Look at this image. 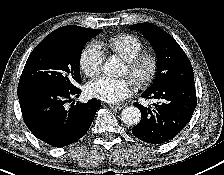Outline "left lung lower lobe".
I'll list each match as a JSON object with an SVG mask.
<instances>
[{
	"mask_svg": "<svg viewBox=\"0 0 224 175\" xmlns=\"http://www.w3.org/2000/svg\"><path fill=\"white\" fill-rule=\"evenodd\" d=\"M142 97L155 99L156 103L153 107L135 103L142 117L132 134L151 144H162L177 136L192 117L197 104L194 78L167 82L146 90Z\"/></svg>",
	"mask_w": 224,
	"mask_h": 175,
	"instance_id": "0a47b994",
	"label": "left lung lower lobe"
}]
</instances>
